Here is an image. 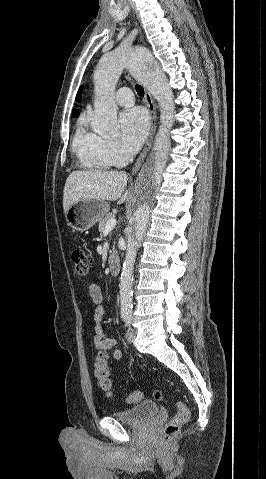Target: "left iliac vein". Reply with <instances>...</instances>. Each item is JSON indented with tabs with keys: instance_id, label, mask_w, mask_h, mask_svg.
<instances>
[{
	"instance_id": "left-iliac-vein-1",
	"label": "left iliac vein",
	"mask_w": 266,
	"mask_h": 479,
	"mask_svg": "<svg viewBox=\"0 0 266 479\" xmlns=\"http://www.w3.org/2000/svg\"><path fill=\"white\" fill-rule=\"evenodd\" d=\"M136 335H137V330L135 328H132L130 327L128 330H127V333H126V339L129 343H132L135 338H136Z\"/></svg>"
}]
</instances>
